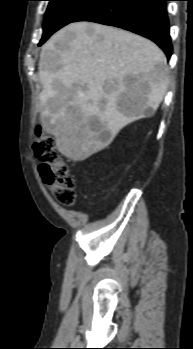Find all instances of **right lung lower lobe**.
I'll return each mask as SVG.
<instances>
[{
    "instance_id": "obj_1",
    "label": "right lung lower lobe",
    "mask_w": 193,
    "mask_h": 349,
    "mask_svg": "<svg viewBox=\"0 0 193 349\" xmlns=\"http://www.w3.org/2000/svg\"><path fill=\"white\" fill-rule=\"evenodd\" d=\"M168 0H97L72 22L91 21L119 27L159 45L172 54L165 2Z\"/></svg>"
}]
</instances>
